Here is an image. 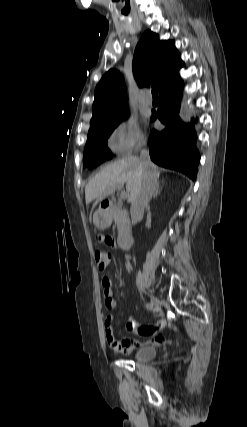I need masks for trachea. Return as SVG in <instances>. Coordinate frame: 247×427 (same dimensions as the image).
<instances>
[{
	"label": "trachea",
	"instance_id": "1",
	"mask_svg": "<svg viewBox=\"0 0 247 427\" xmlns=\"http://www.w3.org/2000/svg\"><path fill=\"white\" fill-rule=\"evenodd\" d=\"M152 96H153V98H158V92H157L156 88L152 89Z\"/></svg>",
	"mask_w": 247,
	"mask_h": 427
}]
</instances>
